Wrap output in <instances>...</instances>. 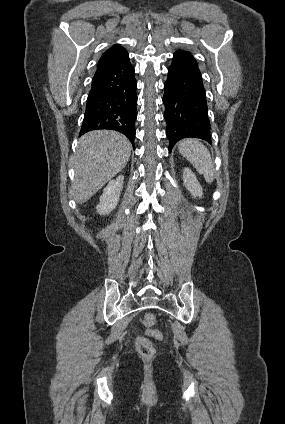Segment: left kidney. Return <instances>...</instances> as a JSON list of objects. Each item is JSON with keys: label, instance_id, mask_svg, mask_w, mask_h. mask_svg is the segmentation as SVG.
<instances>
[{"label": "left kidney", "instance_id": "1", "mask_svg": "<svg viewBox=\"0 0 285 424\" xmlns=\"http://www.w3.org/2000/svg\"><path fill=\"white\" fill-rule=\"evenodd\" d=\"M183 182L184 185L187 187L188 191L194 196V197H202L203 190L198 182L196 175L189 169L188 167L184 168L183 171Z\"/></svg>", "mask_w": 285, "mask_h": 424}]
</instances>
